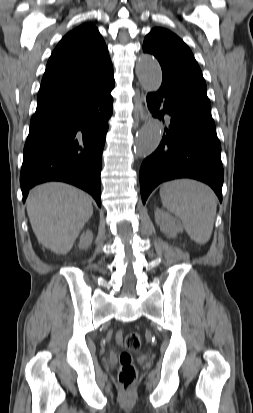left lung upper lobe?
Listing matches in <instances>:
<instances>
[{"label":"left lung upper lobe","mask_w":253,"mask_h":413,"mask_svg":"<svg viewBox=\"0 0 253 413\" xmlns=\"http://www.w3.org/2000/svg\"><path fill=\"white\" fill-rule=\"evenodd\" d=\"M143 51L159 61L163 81L196 88L206 94V83L189 47L174 33L154 28L145 37Z\"/></svg>","instance_id":"obj_1"}]
</instances>
